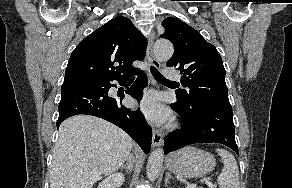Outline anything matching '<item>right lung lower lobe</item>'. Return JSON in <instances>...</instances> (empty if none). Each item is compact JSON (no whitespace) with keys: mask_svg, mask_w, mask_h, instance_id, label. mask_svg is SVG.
I'll list each match as a JSON object with an SVG mask.
<instances>
[{"mask_svg":"<svg viewBox=\"0 0 292 188\" xmlns=\"http://www.w3.org/2000/svg\"><path fill=\"white\" fill-rule=\"evenodd\" d=\"M142 74V72H139ZM117 80L120 84L123 79H95L84 81L80 79L65 80L61 88V101L59 104V118L57 127L66 118L86 114L103 118L128 133L145 153H149L151 146V128L146 123L140 110L131 111L122 105L124 96H112L109 89ZM147 85L146 75H140L134 84L126 91L127 94L140 101L143 87Z\"/></svg>","mask_w":292,"mask_h":188,"instance_id":"98d812e1","label":"right lung lower lobe"}]
</instances>
